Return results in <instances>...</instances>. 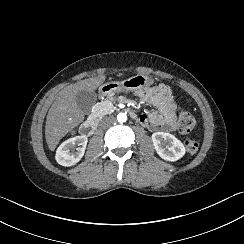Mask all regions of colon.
<instances>
[{"instance_id": "obj_1", "label": "colon", "mask_w": 244, "mask_h": 244, "mask_svg": "<svg viewBox=\"0 0 244 244\" xmlns=\"http://www.w3.org/2000/svg\"><path fill=\"white\" fill-rule=\"evenodd\" d=\"M178 117V129L181 134L186 136L184 145L186 152L189 155H194L199 151L200 144L199 141L193 137L195 132L196 121L194 116L187 111H179L177 113Z\"/></svg>"}]
</instances>
